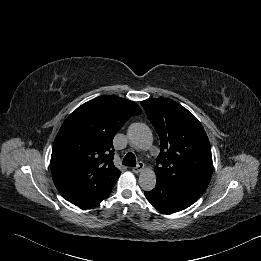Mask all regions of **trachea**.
Returning <instances> with one entry per match:
<instances>
[{
    "instance_id": "1",
    "label": "trachea",
    "mask_w": 261,
    "mask_h": 261,
    "mask_svg": "<svg viewBox=\"0 0 261 261\" xmlns=\"http://www.w3.org/2000/svg\"><path fill=\"white\" fill-rule=\"evenodd\" d=\"M122 164L125 165V166L135 167L136 166V157H135V155L132 152L127 153L126 156L123 159Z\"/></svg>"
}]
</instances>
